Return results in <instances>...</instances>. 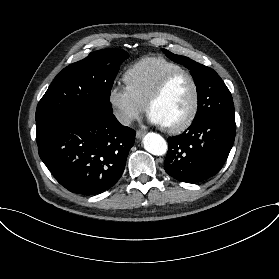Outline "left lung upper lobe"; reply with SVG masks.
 Returning <instances> with one entry per match:
<instances>
[{
	"instance_id": "1",
	"label": "left lung upper lobe",
	"mask_w": 279,
	"mask_h": 279,
	"mask_svg": "<svg viewBox=\"0 0 279 279\" xmlns=\"http://www.w3.org/2000/svg\"><path fill=\"white\" fill-rule=\"evenodd\" d=\"M162 51L174 62L190 69L198 93V111L193 121L210 115L235 117L231 93L213 69L188 57L175 55L166 49H162Z\"/></svg>"
}]
</instances>
